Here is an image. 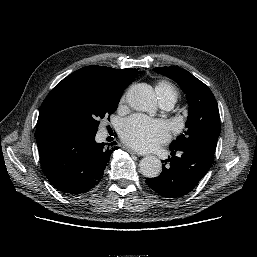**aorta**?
I'll return each mask as SVG.
<instances>
[{
    "label": "aorta",
    "instance_id": "762f6f07",
    "mask_svg": "<svg viewBox=\"0 0 257 257\" xmlns=\"http://www.w3.org/2000/svg\"><path fill=\"white\" fill-rule=\"evenodd\" d=\"M128 104L137 111L153 112L156 109V96L151 86L141 83L129 88L126 94ZM140 172L148 178L160 175L162 164L156 156H146L140 161Z\"/></svg>",
    "mask_w": 257,
    "mask_h": 257
}]
</instances>
